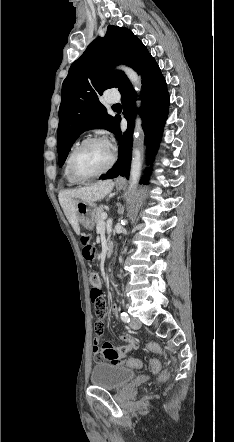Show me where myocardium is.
<instances>
[{"mask_svg":"<svg viewBox=\"0 0 234 442\" xmlns=\"http://www.w3.org/2000/svg\"><path fill=\"white\" fill-rule=\"evenodd\" d=\"M98 142H104L108 144V141L104 138V137H100V136H94V137H89L85 140H83L82 142H80L79 144H77L72 151L70 152L68 159H67V168H68V172L70 174V176L77 182L82 183V182H87L93 179H96L104 174H106L109 170L112 169V167L114 166L115 162H116V153L115 151L111 148V158L109 163L106 165L105 168H103L101 171L90 175V176H80L78 175L74 169H73V158L75 156V154L81 150L82 148H84L85 146L92 144V143H98Z\"/></svg>","mask_w":234,"mask_h":442,"instance_id":"1","label":"myocardium"}]
</instances>
